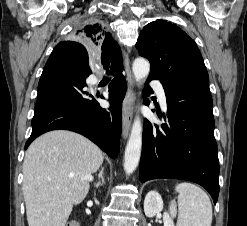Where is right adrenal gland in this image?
<instances>
[{
    "mask_svg": "<svg viewBox=\"0 0 247 226\" xmlns=\"http://www.w3.org/2000/svg\"><path fill=\"white\" fill-rule=\"evenodd\" d=\"M103 175H104V168L101 167V170L99 172V180H98V182L94 183L95 187L102 186L105 183Z\"/></svg>",
    "mask_w": 247,
    "mask_h": 226,
    "instance_id": "right-adrenal-gland-1",
    "label": "right adrenal gland"
}]
</instances>
